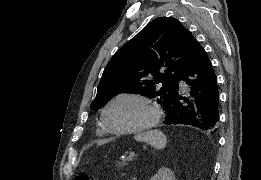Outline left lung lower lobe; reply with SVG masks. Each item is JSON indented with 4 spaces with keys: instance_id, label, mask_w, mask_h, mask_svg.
<instances>
[{
    "instance_id": "0a47b994",
    "label": "left lung lower lobe",
    "mask_w": 261,
    "mask_h": 180,
    "mask_svg": "<svg viewBox=\"0 0 261 180\" xmlns=\"http://www.w3.org/2000/svg\"><path fill=\"white\" fill-rule=\"evenodd\" d=\"M179 81L187 85L184 93ZM167 125H190L215 133L219 122L217 77L204 48L199 44L195 54L181 73L174 96L164 109Z\"/></svg>"
}]
</instances>
